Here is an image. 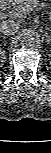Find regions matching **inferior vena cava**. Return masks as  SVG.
Wrapping results in <instances>:
<instances>
[{
    "label": "inferior vena cava",
    "mask_w": 51,
    "mask_h": 153,
    "mask_svg": "<svg viewBox=\"0 0 51 153\" xmlns=\"http://www.w3.org/2000/svg\"><path fill=\"white\" fill-rule=\"evenodd\" d=\"M20 25L13 20L3 21L0 25V32L4 35H14L18 32Z\"/></svg>",
    "instance_id": "1"
}]
</instances>
